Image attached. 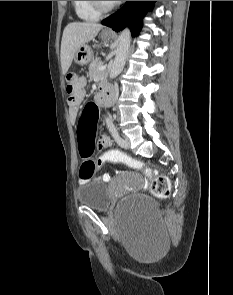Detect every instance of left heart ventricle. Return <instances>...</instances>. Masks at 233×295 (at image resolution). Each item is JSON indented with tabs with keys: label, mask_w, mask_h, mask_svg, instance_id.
Listing matches in <instances>:
<instances>
[{
	"label": "left heart ventricle",
	"mask_w": 233,
	"mask_h": 295,
	"mask_svg": "<svg viewBox=\"0 0 233 295\" xmlns=\"http://www.w3.org/2000/svg\"><path fill=\"white\" fill-rule=\"evenodd\" d=\"M105 5H110L112 3H114L113 1H102Z\"/></svg>",
	"instance_id": "obj_1"
}]
</instances>
